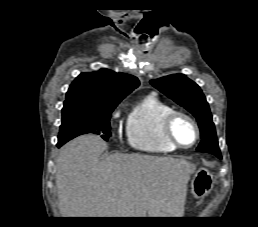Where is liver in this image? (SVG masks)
Listing matches in <instances>:
<instances>
[{
    "instance_id": "6515ba94",
    "label": "liver",
    "mask_w": 258,
    "mask_h": 227,
    "mask_svg": "<svg viewBox=\"0 0 258 227\" xmlns=\"http://www.w3.org/2000/svg\"><path fill=\"white\" fill-rule=\"evenodd\" d=\"M106 148L96 135L61 148L56 188L62 217H182L194 164L122 153L100 160Z\"/></svg>"
}]
</instances>
